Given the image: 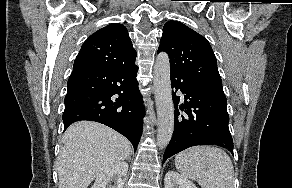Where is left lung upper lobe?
Returning a JSON list of instances; mask_svg holds the SVG:
<instances>
[{"label":"left lung upper lobe","mask_w":292,"mask_h":188,"mask_svg":"<svg viewBox=\"0 0 292 188\" xmlns=\"http://www.w3.org/2000/svg\"><path fill=\"white\" fill-rule=\"evenodd\" d=\"M160 51L169 55L170 72L223 90L217 60L210 44L191 28L178 21H168L163 27Z\"/></svg>","instance_id":"5c2ea615"}]
</instances>
